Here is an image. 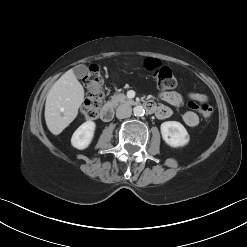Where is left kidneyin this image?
Instances as JSON below:
<instances>
[{
  "mask_svg": "<svg viewBox=\"0 0 247 247\" xmlns=\"http://www.w3.org/2000/svg\"><path fill=\"white\" fill-rule=\"evenodd\" d=\"M160 129L163 140L171 147L185 146L190 140L185 127L177 121L163 122Z\"/></svg>",
  "mask_w": 247,
  "mask_h": 247,
  "instance_id": "obj_1",
  "label": "left kidney"
}]
</instances>
